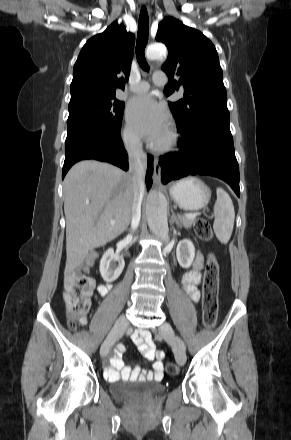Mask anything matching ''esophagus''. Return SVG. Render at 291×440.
Masks as SVG:
<instances>
[{
	"label": "esophagus",
	"mask_w": 291,
	"mask_h": 440,
	"mask_svg": "<svg viewBox=\"0 0 291 440\" xmlns=\"http://www.w3.org/2000/svg\"><path fill=\"white\" fill-rule=\"evenodd\" d=\"M141 5L144 6L145 8H148L149 6V2L147 0H142L141 1ZM160 178H161V169L160 166L158 164V160L154 159V164H153V180L156 184L160 183Z\"/></svg>",
	"instance_id": "34e87169"
}]
</instances>
